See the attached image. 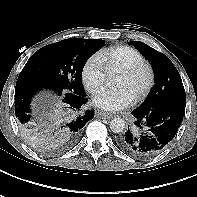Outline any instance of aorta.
<instances>
[{"label":"aorta","instance_id":"1","mask_svg":"<svg viewBox=\"0 0 197 197\" xmlns=\"http://www.w3.org/2000/svg\"><path fill=\"white\" fill-rule=\"evenodd\" d=\"M110 129L114 133H121L125 129V122L121 118H114L110 121Z\"/></svg>","mask_w":197,"mask_h":197}]
</instances>
